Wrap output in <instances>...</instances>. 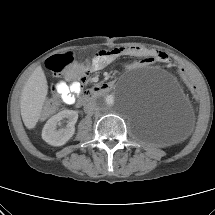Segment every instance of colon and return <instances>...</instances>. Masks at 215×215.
<instances>
[{
    "instance_id": "5ec220e1",
    "label": "colon",
    "mask_w": 215,
    "mask_h": 215,
    "mask_svg": "<svg viewBox=\"0 0 215 215\" xmlns=\"http://www.w3.org/2000/svg\"><path fill=\"white\" fill-rule=\"evenodd\" d=\"M45 64L46 67L53 73H61L62 79L66 83L73 82L87 70L86 63L83 61L74 60V55L70 52L51 56L46 60ZM176 69L180 79H182L183 85L186 87V93L191 94L193 96L196 95L199 91V88L194 77L186 70L185 66L181 63L177 65ZM58 105V99L56 97L51 98L45 105L44 113L50 114L54 112Z\"/></svg>"
}]
</instances>
